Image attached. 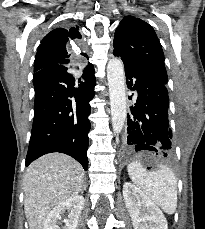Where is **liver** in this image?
<instances>
[{
  "instance_id": "liver-1",
  "label": "liver",
  "mask_w": 205,
  "mask_h": 229,
  "mask_svg": "<svg viewBox=\"0 0 205 229\" xmlns=\"http://www.w3.org/2000/svg\"><path fill=\"white\" fill-rule=\"evenodd\" d=\"M84 182L82 166L61 153L46 154L32 162L23 182L24 212L30 229H43L50 210L77 196Z\"/></svg>"
}]
</instances>
